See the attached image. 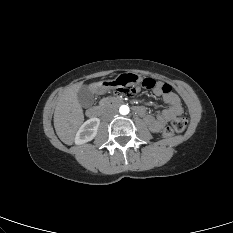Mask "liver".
I'll return each instance as SVG.
<instances>
[{
  "label": "liver",
  "instance_id": "liver-1",
  "mask_svg": "<svg viewBox=\"0 0 233 233\" xmlns=\"http://www.w3.org/2000/svg\"><path fill=\"white\" fill-rule=\"evenodd\" d=\"M81 83L68 87L58 98L54 111V128L62 142L70 145L74 136L84 121V114L77 99V92ZM96 92V84L90 85Z\"/></svg>",
  "mask_w": 233,
  "mask_h": 233
}]
</instances>
